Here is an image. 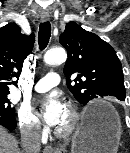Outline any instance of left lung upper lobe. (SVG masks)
<instances>
[{
  "mask_svg": "<svg viewBox=\"0 0 130 153\" xmlns=\"http://www.w3.org/2000/svg\"><path fill=\"white\" fill-rule=\"evenodd\" d=\"M60 43L68 52L64 66L67 87L79 103L105 96L125 99L122 65L110 44L74 21L67 23ZM74 74L77 77L71 80Z\"/></svg>",
  "mask_w": 130,
  "mask_h": 153,
  "instance_id": "left-lung-upper-lobe-1",
  "label": "left lung upper lobe"
}]
</instances>
